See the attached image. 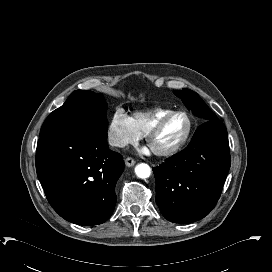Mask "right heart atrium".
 <instances>
[{
	"label": "right heart atrium",
	"instance_id": "right-heart-atrium-1",
	"mask_svg": "<svg viewBox=\"0 0 272 272\" xmlns=\"http://www.w3.org/2000/svg\"><path fill=\"white\" fill-rule=\"evenodd\" d=\"M107 128L108 141L114 147H125L137 142L141 137L133 118L121 109L116 110L111 116Z\"/></svg>",
	"mask_w": 272,
	"mask_h": 272
}]
</instances>
